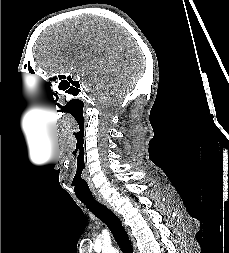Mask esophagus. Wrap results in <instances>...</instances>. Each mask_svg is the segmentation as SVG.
<instances>
[{
    "instance_id": "34e87169",
    "label": "esophagus",
    "mask_w": 229,
    "mask_h": 253,
    "mask_svg": "<svg viewBox=\"0 0 229 253\" xmlns=\"http://www.w3.org/2000/svg\"><path fill=\"white\" fill-rule=\"evenodd\" d=\"M96 199H97L98 202H100L101 204L105 205L107 208H109L110 210H112L111 205L102 196L96 195Z\"/></svg>"
}]
</instances>
